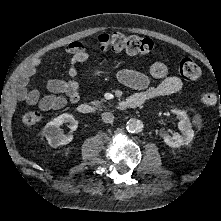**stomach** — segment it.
<instances>
[{
	"mask_svg": "<svg viewBox=\"0 0 221 221\" xmlns=\"http://www.w3.org/2000/svg\"><path fill=\"white\" fill-rule=\"evenodd\" d=\"M104 72H105L104 70H95V71L93 72V76L99 77V76H101Z\"/></svg>",
	"mask_w": 221,
	"mask_h": 221,
	"instance_id": "1",
	"label": "stomach"
}]
</instances>
